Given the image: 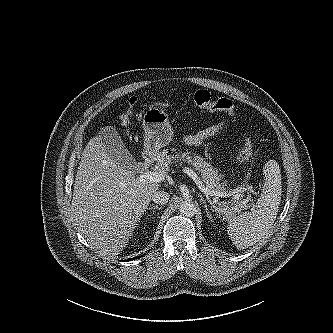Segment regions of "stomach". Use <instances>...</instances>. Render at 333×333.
Wrapping results in <instances>:
<instances>
[{
  "instance_id": "1",
  "label": "stomach",
  "mask_w": 333,
  "mask_h": 333,
  "mask_svg": "<svg viewBox=\"0 0 333 333\" xmlns=\"http://www.w3.org/2000/svg\"><path fill=\"white\" fill-rule=\"evenodd\" d=\"M144 154L155 156L173 137L168 115L160 109L150 108L143 115Z\"/></svg>"
}]
</instances>
